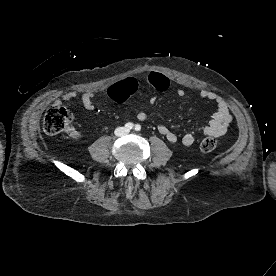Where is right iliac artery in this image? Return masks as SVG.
<instances>
[{
    "instance_id": "1",
    "label": "right iliac artery",
    "mask_w": 276,
    "mask_h": 276,
    "mask_svg": "<svg viewBox=\"0 0 276 276\" xmlns=\"http://www.w3.org/2000/svg\"><path fill=\"white\" fill-rule=\"evenodd\" d=\"M133 127H134V124L131 123V122L125 124V129L128 130V131L133 129Z\"/></svg>"
}]
</instances>
